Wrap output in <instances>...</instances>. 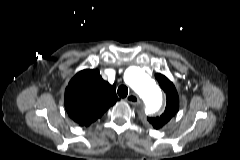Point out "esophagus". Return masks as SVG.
<instances>
[{"mask_svg":"<svg viewBox=\"0 0 240 160\" xmlns=\"http://www.w3.org/2000/svg\"><path fill=\"white\" fill-rule=\"evenodd\" d=\"M126 101L132 105H138L140 103L138 96L135 94L128 95L126 98Z\"/></svg>","mask_w":240,"mask_h":160,"instance_id":"obj_1","label":"esophagus"}]
</instances>
